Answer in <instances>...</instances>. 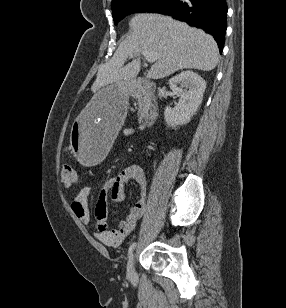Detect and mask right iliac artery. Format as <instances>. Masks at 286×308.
<instances>
[{
  "mask_svg": "<svg viewBox=\"0 0 286 308\" xmlns=\"http://www.w3.org/2000/svg\"><path fill=\"white\" fill-rule=\"evenodd\" d=\"M136 247V242L132 243L128 249V256H130L133 252V250L135 249Z\"/></svg>",
  "mask_w": 286,
  "mask_h": 308,
  "instance_id": "right-iliac-artery-1",
  "label": "right iliac artery"
}]
</instances>
